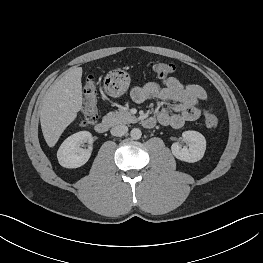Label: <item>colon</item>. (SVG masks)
Listing matches in <instances>:
<instances>
[{
    "mask_svg": "<svg viewBox=\"0 0 263 263\" xmlns=\"http://www.w3.org/2000/svg\"><path fill=\"white\" fill-rule=\"evenodd\" d=\"M150 70L158 77L166 78L175 72V65L169 62L151 60L147 63ZM84 105L80 113L81 122L84 125H92L98 120L97 85L92 76L83 84ZM205 124L215 130L218 127V119L208 110L205 111Z\"/></svg>",
    "mask_w": 263,
    "mask_h": 263,
    "instance_id": "5ec220e1",
    "label": "colon"
}]
</instances>
